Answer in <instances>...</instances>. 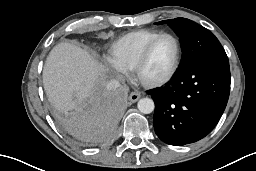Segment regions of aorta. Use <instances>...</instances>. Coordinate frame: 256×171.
Here are the masks:
<instances>
[{"mask_svg":"<svg viewBox=\"0 0 256 171\" xmlns=\"http://www.w3.org/2000/svg\"><path fill=\"white\" fill-rule=\"evenodd\" d=\"M137 107L141 113L150 114L151 112H153L155 105L152 99L142 98L138 101Z\"/></svg>","mask_w":256,"mask_h":171,"instance_id":"obj_1","label":"aorta"}]
</instances>
